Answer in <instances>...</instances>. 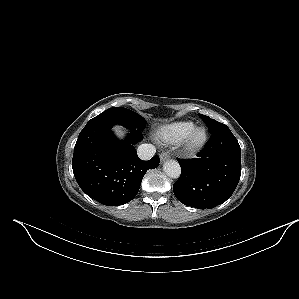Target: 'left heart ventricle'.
<instances>
[{
    "label": "left heart ventricle",
    "mask_w": 299,
    "mask_h": 299,
    "mask_svg": "<svg viewBox=\"0 0 299 299\" xmlns=\"http://www.w3.org/2000/svg\"><path fill=\"white\" fill-rule=\"evenodd\" d=\"M200 136H201V133H199V134L196 136V138L198 139V138H200Z\"/></svg>",
    "instance_id": "b2bd125f"
}]
</instances>
